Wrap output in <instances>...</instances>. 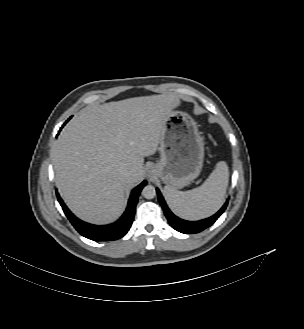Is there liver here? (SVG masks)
<instances>
[{
	"label": "liver",
	"mask_w": 304,
	"mask_h": 329,
	"mask_svg": "<svg viewBox=\"0 0 304 329\" xmlns=\"http://www.w3.org/2000/svg\"><path fill=\"white\" fill-rule=\"evenodd\" d=\"M179 104L177 95L161 94L93 105L63 128L54 144L55 184L74 214L94 224L120 216L125 189L143 180L144 157L157 151L164 122Z\"/></svg>",
	"instance_id": "obj_1"
}]
</instances>
